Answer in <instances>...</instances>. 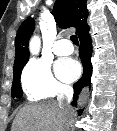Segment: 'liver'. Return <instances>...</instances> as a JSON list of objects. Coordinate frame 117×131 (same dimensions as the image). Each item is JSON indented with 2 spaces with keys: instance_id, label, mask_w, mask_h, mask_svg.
<instances>
[{
  "instance_id": "1",
  "label": "liver",
  "mask_w": 117,
  "mask_h": 131,
  "mask_svg": "<svg viewBox=\"0 0 117 131\" xmlns=\"http://www.w3.org/2000/svg\"><path fill=\"white\" fill-rule=\"evenodd\" d=\"M71 119L56 101L31 104L20 109L11 131H68Z\"/></svg>"
}]
</instances>
